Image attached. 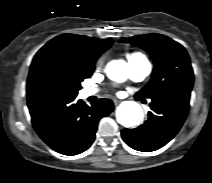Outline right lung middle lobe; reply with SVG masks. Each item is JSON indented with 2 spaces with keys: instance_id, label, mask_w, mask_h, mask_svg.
I'll return each instance as SVG.
<instances>
[{
  "instance_id": "dd1d6c3e",
  "label": "right lung middle lobe",
  "mask_w": 212,
  "mask_h": 183,
  "mask_svg": "<svg viewBox=\"0 0 212 183\" xmlns=\"http://www.w3.org/2000/svg\"><path fill=\"white\" fill-rule=\"evenodd\" d=\"M93 68L84 69L56 52L43 55L30 71L27 96L47 95L76 97L81 82L91 76Z\"/></svg>"
}]
</instances>
